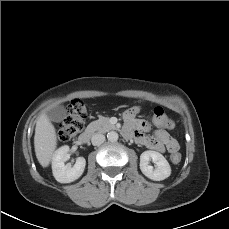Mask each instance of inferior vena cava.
I'll return each instance as SVG.
<instances>
[{"label": "inferior vena cava", "instance_id": "inferior-vena-cava-1", "mask_svg": "<svg viewBox=\"0 0 229 229\" xmlns=\"http://www.w3.org/2000/svg\"><path fill=\"white\" fill-rule=\"evenodd\" d=\"M105 141V136L100 133H96L92 136L91 142L94 146L101 145Z\"/></svg>", "mask_w": 229, "mask_h": 229}]
</instances>
